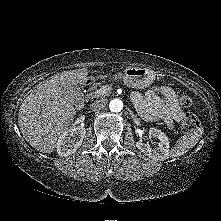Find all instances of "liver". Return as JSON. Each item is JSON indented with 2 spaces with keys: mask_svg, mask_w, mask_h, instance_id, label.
<instances>
[{
  "mask_svg": "<svg viewBox=\"0 0 221 221\" xmlns=\"http://www.w3.org/2000/svg\"><path fill=\"white\" fill-rule=\"evenodd\" d=\"M87 75V68L62 72L26 97L19 109L18 124L32 147L43 153L54 151L58 137L68 129L77 112L73 101L64 95L67 85H84ZM104 77L107 76H98Z\"/></svg>",
  "mask_w": 221,
  "mask_h": 221,
  "instance_id": "obj_1",
  "label": "liver"
}]
</instances>
